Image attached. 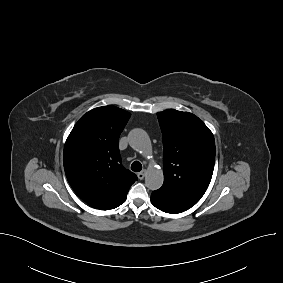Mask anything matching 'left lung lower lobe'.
<instances>
[{"instance_id":"left-lung-lower-lobe-1","label":"left lung lower lobe","mask_w":283,"mask_h":283,"mask_svg":"<svg viewBox=\"0 0 283 283\" xmlns=\"http://www.w3.org/2000/svg\"><path fill=\"white\" fill-rule=\"evenodd\" d=\"M151 201L155 207L166 213L177 214L186 211L160 190L152 192Z\"/></svg>"}]
</instances>
